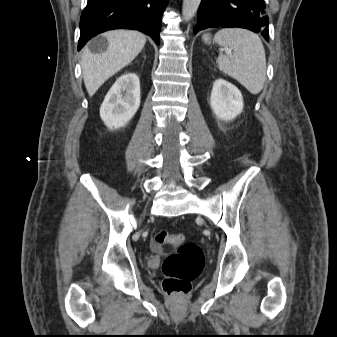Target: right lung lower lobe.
<instances>
[{"instance_id": "98d812e1", "label": "right lung lower lobe", "mask_w": 337, "mask_h": 337, "mask_svg": "<svg viewBox=\"0 0 337 337\" xmlns=\"http://www.w3.org/2000/svg\"><path fill=\"white\" fill-rule=\"evenodd\" d=\"M168 0H88L80 19L78 50L93 36L112 29L139 30L159 44Z\"/></svg>"}]
</instances>
